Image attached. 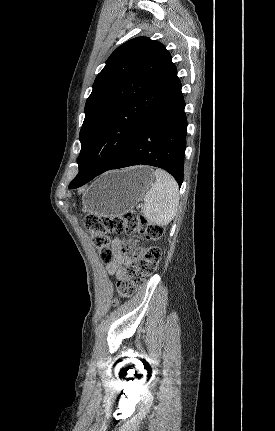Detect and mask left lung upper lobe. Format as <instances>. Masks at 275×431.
<instances>
[{
  "instance_id": "obj_1",
  "label": "left lung upper lobe",
  "mask_w": 275,
  "mask_h": 431,
  "mask_svg": "<svg viewBox=\"0 0 275 431\" xmlns=\"http://www.w3.org/2000/svg\"><path fill=\"white\" fill-rule=\"evenodd\" d=\"M176 78L171 55L160 42L137 37L118 47L96 77L86 101L79 136V173L94 175L112 165Z\"/></svg>"
}]
</instances>
